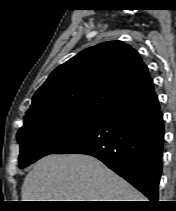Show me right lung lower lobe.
I'll return each instance as SVG.
<instances>
[{"mask_svg": "<svg viewBox=\"0 0 176 211\" xmlns=\"http://www.w3.org/2000/svg\"><path fill=\"white\" fill-rule=\"evenodd\" d=\"M158 97L107 115L54 153L88 154L101 160L151 201H158L164 141Z\"/></svg>", "mask_w": 176, "mask_h": 211, "instance_id": "right-lung-lower-lobe-1", "label": "right lung lower lobe"}]
</instances>
